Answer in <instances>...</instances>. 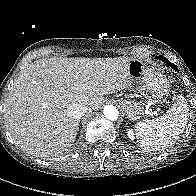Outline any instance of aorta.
Segmentation results:
<instances>
[{
	"label": "aorta",
	"instance_id": "obj_1",
	"mask_svg": "<svg viewBox=\"0 0 196 196\" xmlns=\"http://www.w3.org/2000/svg\"><path fill=\"white\" fill-rule=\"evenodd\" d=\"M104 116L109 120H117L119 116L118 109L113 105H107L103 110Z\"/></svg>",
	"mask_w": 196,
	"mask_h": 196
}]
</instances>
